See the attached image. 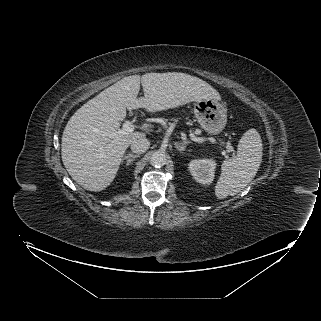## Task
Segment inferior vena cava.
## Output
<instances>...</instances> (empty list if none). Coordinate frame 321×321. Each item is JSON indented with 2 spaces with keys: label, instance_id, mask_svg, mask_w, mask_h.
Segmentation results:
<instances>
[{
  "label": "inferior vena cava",
  "instance_id": "inferior-vena-cava-1",
  "mask_svg": "<svg viewBox=\"0 0 321 321\" xmlns=\"http://www.w3.org/2000/svg\"><path fill=\"white\" fill-rule=\"evenodd\" d=\"M150 147V142L146 138H139L132 142L131 150L134 153L142 154L145 153Z\"/></svg>",
  "mask_w": 321,
  "mask_h": 321
}]
</instances>
